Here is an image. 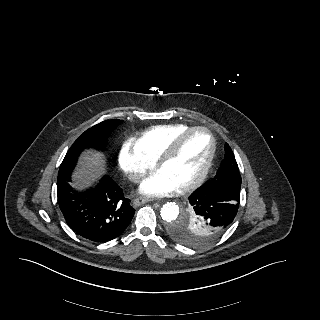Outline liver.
I'll list each match as a JSON object with an SVG mask.
<instances>
[{"mask_svg": "<svg viewBox=\"0 0 320 320\" xmlns=\"http://www.w3.org/2000/svg\"><path fill=\"white\" fill-rule=\"evenodd\" d=\"M104 160L96 153L87 152L81 159L78 169L73 174L77 188H83L104 172Z\"/></svg>", "mask_w": 320, "mask_h": 320, "instance_id": "obj_1", "label": "liver"}]
</instances>
